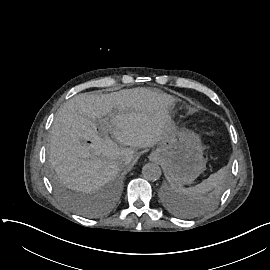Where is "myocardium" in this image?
<instances>
[{"label": "myocardium", "mask_w": 270, "mask_h": 270, "mask_svg": "<svg viewBox=\"0 0 270 270\" xmlns=\"http://www.w3.org/2000/svg\"><path fill=\"white\" fill-rule=\"evenodd\" d=\"M180 138L182 140H195L197 139V136L191 131H182L180 133Z\"/></svg>", "instance_id": "myocardium-1"}]
</instances>
